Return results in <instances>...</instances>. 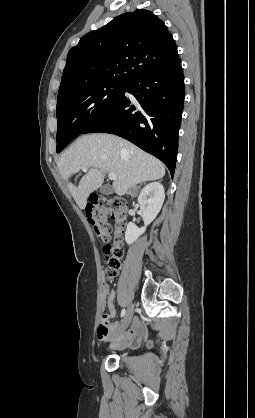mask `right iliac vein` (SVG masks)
<instances>
[{
  "instance_id": "63e3f726",
  "label": "right iliac vein",
  "mask_w": 255,
  "mask_h": 418,
  "mask_svg": "<svg viewBox=\"0 0 255 418\" xmlns=\"http://www.w3.org/2000/svg\"><path fill=\"white\" fill-rule=\"evenodd\" d=\"M133 313H134V306L133 305H130L128 307L127 312H126V315H125V317H124V319H123V321L121 323V326H120L121 329H125V328L128 327L129 323L132 320Z\"/></svg>"
}]
</instances>
